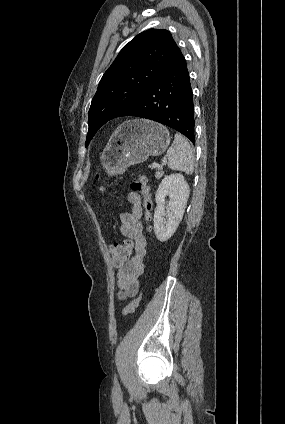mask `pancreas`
<instances>
[{"instance_id":"cf45deb5","label":"pancreas","mask_w":285,"mask_h":424,"mask_svg":"<svg viewBox=\"0 0 285 424\" xmlns=\"http://www.w3.org/2000/svg\"><path fill=\"white\" fill-rule=\"evenodd\" d=\"M162 176H163V172L162 171H160V172L158 171V172L155 173V177L157 179H160Z\"/></svg>"}]
</instances>
